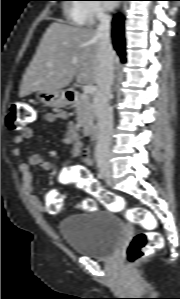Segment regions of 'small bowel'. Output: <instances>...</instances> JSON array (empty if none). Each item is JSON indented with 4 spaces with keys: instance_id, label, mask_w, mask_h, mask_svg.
<instances>
[{
    "instance_id": "c3829d8e",
    "label": "small bowel",
    "mask_w": 180,
    "mask_h": 299,
    "mask_svg": "<svg viewBox=\"0 0 180 299\" xmlns=\"http://www.w3.org/2000/svg\"><path fill=\"white\" fill-rule=\"evenodd\" d=\"M45 120L48 123H55L57 121L65 122V135L63 138V142L65 144L71 145L72 149L69 158L66 160L67 166L64 168V172L59 177V181L65 185L73 184L76 177L84 173L85 165L91 163L89 149L84 146L75 123L68 118L66 112L62 111L57 113H47L45 114ZM33 136L34 129L32 127H26L19 135H16L13 138V142L16 145V147L13 149V155L19 159L18 169L22 174V186L28 196L31 205L34 208L43 211L44 205L41 203L39 197L34 192L31 167L36 166L44 170H50L53 166V163L39 153L31 154L27 161L22 159L23 151L19 147V145H21L25 140L32 138ZM80 156H82L85 165L72 164Z\"/></svg>"
}]
</instances>
